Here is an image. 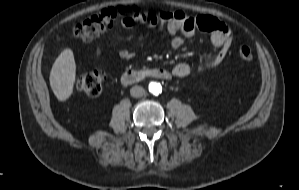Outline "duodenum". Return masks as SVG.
I'll list each match as a JSON object with an SVG mask.
<instances>
[{
  "label": "duodenum",
  "mask_w": 299,
  "mask_h": 190,
  "mask_svg": "<svg viewBox=\"0 0 299 190\" xmlns=\"http://www.w3.org/2000/svg\"><path fill=\"white\" fill-rule=\"evenodd\" d=\"M169 79L171 77L168 70L164 68L133 69L122 75L121 81L125 85L137 83L145 78Z\"/></svg>",
  "instance_id": "1"
}]
</instances>
